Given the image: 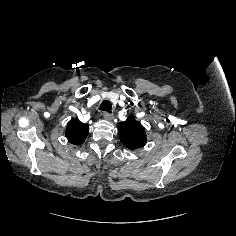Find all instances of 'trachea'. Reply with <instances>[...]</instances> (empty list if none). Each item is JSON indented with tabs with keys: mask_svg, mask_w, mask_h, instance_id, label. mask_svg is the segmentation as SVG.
I'll return each instance as SVG.
<instances>
[{
	"mask_svg": "<svg viewBox=\"0 0 236 236\" xmlns=\"http://www.w3.org/2000/svg\"><path fill=\"white\" fill-rule=\"evenodd\" d=\"M100 110L102 111H106L108 113H111V109H112V105H111V102L108 101V100H104L100 107H99Z\"/></svg>",
	"mask_w": 236,
	"mask_h": 236,
	"instance_id": "3493384b",
	"label": "trachea"
}]
</instances>
